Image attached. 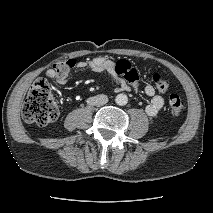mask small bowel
Instances as JSON below:
<instances>
[{
    "mask_svg": "<svg viewBox=\"0 0 213 213\" xmlns=\"http://www.w3.org/2000/svg\"><path fill=\"white\" fill-rule=\"evenodd\" d=\"M115 65V61L112 58L103 56H97L89 60H74V67L79 69H89L93 72H109L116 83L117 92L138 91L140 79L138 71L132 68L130 74L120 76L115 72ZM46 76L61 84L67 82V75H58L54 68L48 69ZM143 91L144 94L150 98L149 104L145 107V112L148 116L155 117L164 106V98L157 93L154 86L150 84H147Z\"/></svg>",
    "mask_w": 213,
    "mask_h": 213,
    "instance_id": "c3829d8e",
    "label": "small bowel"
}]
</instances>
